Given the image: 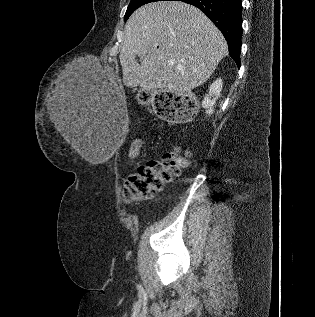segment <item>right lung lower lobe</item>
I'll list each match as a JSON object with an SVG mask.
<instances>
[{"label": "right lung lower lobe", "instance_id": "98d812e1", "mask_svg": "<svg viewBox=\"0 0 315 317\" xmlns=\"http://www.w3.org/2000/svg\"><path fill=\"white\" fill-rule=\"evenodd\" d=\"M203 11L224 35L229 55L240 67L242 37L241 0H177Z\"/></svg>", "mask_w": 315, "mask_h": 317}]
</instances>
